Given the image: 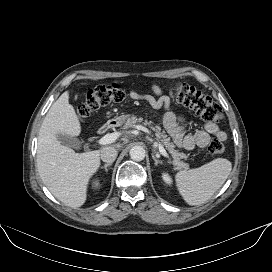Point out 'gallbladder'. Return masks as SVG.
<instances>
[{
    "label": "gallbladder",
    "mask_w": 272,
    "mask_h": 272,
    "mask_svg": "<svg viewBox=\"0 0 272 272\" xmlns=\"http://www.w3.org/2000/svg\"><path fill=\"white\" fill-rule=\"evenodd\" d=\"M57 139L61 144L69 146V147H74V148H78L82 143L77 138L67 136V135H63V134H59L57 136Z\"/></svg>",
    "instance_id": "gallbladder-1"
}]
</instances>
